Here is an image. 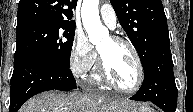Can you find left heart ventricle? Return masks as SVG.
I'll use <instances>...</instances> for the list:
<instances>
[{"label":"left heart ventricle","instance_id":"b2bd125f","mask_svg":"<svg viewBox=\"0 0 193 112\" xmlns=\"http://www.w3.org/2000/svg\"><path fill=\"white\" fill-rule=\"evenodd\" d=\"M110 78L122 88H131L137 80V66L131 50L124 44L114 43L110 38L98 46Z\"/></svg>","mask_w":193,"mask_h":112}]
</instances>
